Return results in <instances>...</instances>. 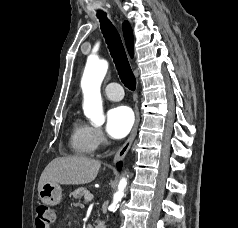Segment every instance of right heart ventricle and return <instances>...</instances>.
Listing matches in <instances>:
<instances>
[{
  "label": "right heart ventricle",
  "instance_id": "obj_1",
  "mask_svg": "<svg viewBox=\"0 0 238 228\" xmlns=\"http://www.w3.org/2000/svg\"><path fill=\"white\" fill-rule=\"evenodd\" d=\"M70 147L79 155H90L96 149L91 137V127L78 117L72 120Z\"/></svg>",
  "mask_w": 238,
  "mask_h": 228
}]
</instances>
